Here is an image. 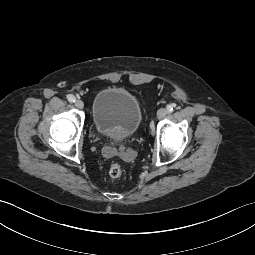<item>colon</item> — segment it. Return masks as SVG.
<instances>
[{
    "instance_id": "obj_1",
    "label": "colon",
    "mask_w": 255,
    "mask_h": 255,
    "mask_svg": "<svg viewBox=\"0 0 255 255\" xmlns=\"http://www.w3.org/2000/svg\"><path fill=\"white\" fill-rule=\"evenodd\" d=\"M122 173L123 169L119 164H112L108 169V175L112 179H117L121 177Z\"/></svg>"
}]
</instances>
